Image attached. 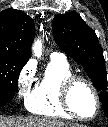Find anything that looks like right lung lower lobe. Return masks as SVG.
Instances as JSON below:
<instances>
[{
  "instance_id": "right-lung-lower-lobe-1",
  "label": "right lung lower lobe",
  "mask_w": 108,
  "mask_h": 127,
  "mask_svg": "<svg viewBox=\"0 0 108 127\" xmlns=\"http://www.w3.org/2000/svg\"><path fill=\"white\" fill-rule=\"evenodd\" d=\"M10 100L9 99H0V107L4 106L7 104Z\"/></svg>"
}]
</instances>
